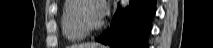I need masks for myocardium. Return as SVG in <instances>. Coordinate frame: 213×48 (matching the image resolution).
I'll return each instance as SVG.
<instances>
[{
  "mask_svg": "<svg viewBox=\"0 0 213 48\" xmlns=\"http://www.w3.org/2000/svg\"><path fill=\"white\" fill-rule=\"evenodd\" d=\"M89 2H93V1L79 0V3L77 4V6L75 8V19H76L78 25L80 26V28L87 34L96 32V31L100 30L101 27L103 26L102 19L99 22H97L96 24L91 25V24L87 23L86 19L84 18L83 14H82V10H83L84 6L86 4H88Z\"/></svg>",
  "mask_w": 213,
  "mask_h": 48,
  "instance_id": "f54148a6",
  "label": "myocardium"
}]
</instances>
